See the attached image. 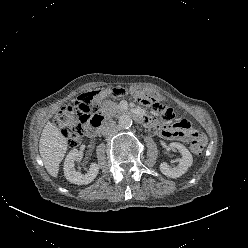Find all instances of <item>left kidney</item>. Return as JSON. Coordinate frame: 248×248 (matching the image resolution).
Wrapping results in <instances>:
<instances>
[{"label": "left kidney", "mask_w": 248, "mask_h": 248, "mask_svg": "<svg viewBox=\"0 0 248 248\" xmlns=\"http://www.w3.org/2000/svg\"><path fill=\"white\" fill-rule=\"evenodd\" d=\"M171 147L176 148L182 155L179 160L178 166L171 168L166 162L160 164V171L167 177L178 178L185 174L189 167L193 163V157L190 151L182 144L173 142L170 144Z\"/></svg>", "instance_id": "left-kidney-1"}]
</instances>
